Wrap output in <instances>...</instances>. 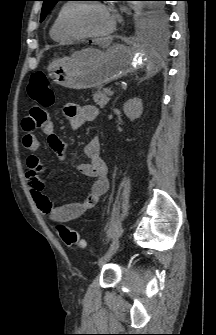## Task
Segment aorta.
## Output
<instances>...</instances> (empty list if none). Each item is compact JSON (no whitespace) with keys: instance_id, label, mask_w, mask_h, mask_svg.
I'll list each match as a JSON object with an SVG mask.
<instances>
[{"instance_id":"aorta-1","label":"aorta","mask_w":216,"mask_h":335,"mask_svg":"<svg viewBox=\"0 0 216 335\" xmlns=\"http://www.w3.org/2000/svg\"><path fill=\"white\" fill-rule=\"evenodd\" d=\"M142 3L141 2H133V9H134V18L137 19L140 15H141V12H142Z\"/></svg>"}]
</instances>
